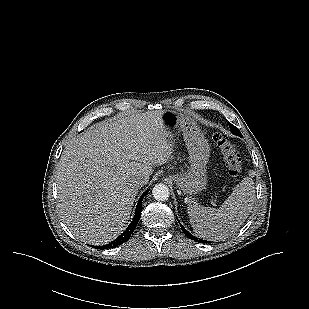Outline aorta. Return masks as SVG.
I'll return each mask as SVG.
<instances>
[{
    "label": "aorta",
    "instance_id": "aorta-1",
    "mask_svg": "<svg viewBox=\"0 0 309 309\" xmlns=\"http://www.w3.org/2000/svg\"><path fill=\"white\" fill-rule=\"evenodd\" d=\"M153 197L159 201H165L169 197V188L164 184H157L152 190Z\"/></svg>",
    "mask_w": 309,
    "mask_h": 309
}]
</instances>
